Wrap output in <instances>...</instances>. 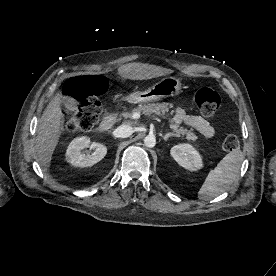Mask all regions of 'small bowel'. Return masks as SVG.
Returning a JSON list of instances; mask_svg holds the SVG:
<instances>
[{"instance_id": "1", "label": "small bowel", "mask_w": 276, "mask_h": 276, "mask_svg": "<svg viewBox=\"0 0 276 276\" xmlns=\"http://www.w3.org/2000/svg\"><path fill=\"white\" fill-rule=\"evenodd\" d=\"M172 120L175 124L183 123L194 128L206 138L214 136L215 130L208 120L199 115L188 114L180 107L174 109Z\"/></svg>"}]
</instances>
